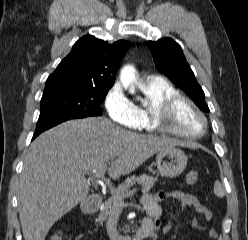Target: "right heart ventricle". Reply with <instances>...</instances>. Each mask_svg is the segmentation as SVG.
<instances>
[{
    "label": "right heart ventricle",
    "mask_w": 248,
    "mask_h": 240,
    "mask_svg": "<svg viewBox=\"0 0 248 240\" xmlns=\"http://www.w3.org/2000/svg\"><path fill=\"white\" fill-rule=\"evenodd\" d=\"M141 90L146 98V104L135 106L139 117V128L154 131L152 113L155 107L167 96L177 93L175 86L168 80L160 77H152L141 84Z\"/></svg>",
    "instance_id": "right-heart-ventricle-1"
}]
</instances>
